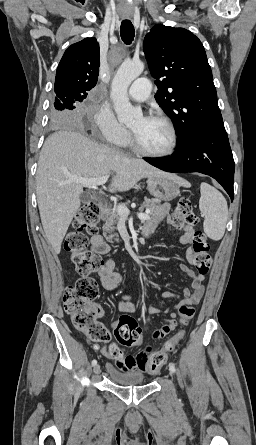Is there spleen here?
<instances>
[{
	"label": "spleen",
	"mask_w": 256,
	"mask_h": 445,
	"mask_svg": "<svg viewBox=\"0 0 256 445\" xmlns=\"http://www.w3.org/2000/svg\"><path fill=\"white\" fill-rule=\"evenodd\" d=\"M200 193L199 209L204 216V232L212 240H220L228 220L227 202L216 188L205 182L200 185Z\"/></svg>",
	"instance_id": "spleen-1"
}]
</instances>
